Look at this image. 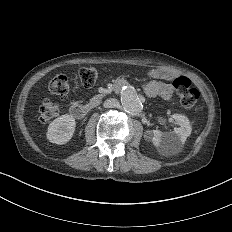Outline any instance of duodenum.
Returning a JSON list of instances; mask_svg holds the SVG:
<instances>
[{"instance_id": "duodenum-1", "label": "duodenum", "mask_w": 232, "mask_h": 232, "mask_svg": "<svg viewBox=\"0 0 232 232\" xmlns=\"http://www.w3.org/2000/svg\"><path fill=\"white\" fill-rule=\"evenodd\" d=\"M125 84L123 80L116 82V87H121ZM70 115L75 119H83L88 113V107L81 104H73L69 109Z\"/></svg>"}]
</instances>
